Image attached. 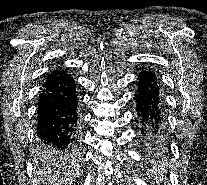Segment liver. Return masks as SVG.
I'll list each match as a JSON object with an SVG mask.
<instances>
[{
	"label": "liver",
	"mask_w": 207,
	"mask_h": 185,
	"mask_svg": "<svg viewBox=\"0 0 207 185\" xmlns=\"http://www.w3.org/2000/svg\"><path fill=\"white\" fill-rule=\"evenodd\" d=\"M54 153H57V151H54ZM46 155V153H45ZM46 157H51V155H46ZM46 159H44V157H38V159H34V163H41V167L39 169V173H41V175H45V171H46V165H43V163H45ZM62 167H64V165H66V161H63V163H61ZM68 173H69V169H68ZM49 179H52V177H50V175H48ZM49 183H51V185H54V183H57V181H49ZM59 183V181H58Z\"/></svg>",
	"instance_id": "1"
}]
</instances>
